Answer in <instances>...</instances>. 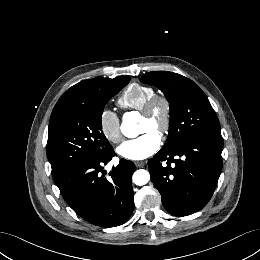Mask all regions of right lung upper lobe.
I'll list each match as a JSON object with an SVG mask.
<instances>
[{
  "label": "right lung upper lobe",
  "mask_w": 260,
  "mask_h": 260,
  "mask_svg": "<svg viewBox=\"0 0 260 260\" xmlns=\"http://www.w3.org/2000/svg\"><path fill=\"white\" fill-rule=\"evenodd\" d=\"M127 78H128L127 76L114 78V79L95 78V79L84 80L77 83L76 85L69 88L60 97V99L58 100V102L56 103L53 109L51 117L55 116L66 107L85 101V99L93 90L100 88L103 84L110 81L125 80Z\"/></svg>",
  "instance_id": "right-lung-upper-lobe-1"
}]
</instances>
